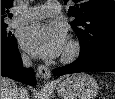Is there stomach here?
Returning a JSON list of instances; mask_svg holds the SVG:
<instances>
[{"mask_svg": "<svg viewBox=\"0 0 115 99\" xmlns=\"http://www.w3.org/2000/svg\"><path fill=\"white\" fill-rule=\"evenodd\" d=\"M56 89L64 99H94L98 85L92 76L79 73L59 83Z\"/></svg>", "mask_w": 115, "mask_h": 99, "instance_id": "1", "label": "stomach"}]
</instances>
